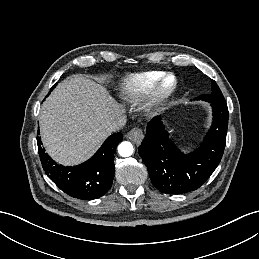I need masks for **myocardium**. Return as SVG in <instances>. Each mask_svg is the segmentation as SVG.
<instances>
[{"instance_id":"1","label":"myocardium","mask_w":259,"mask_h":259,"mask_svg":"<svg viewBox=\"0 0 259 259\" xmlns=\"http://www.w3.org/2000/svg\"><path fill=\"white\" fill-rule=\"evenodd\" d=\"M177 83V78L174 74L166 73L161 75L147 90L142 102L143 111L151 113L164 105L175 92Z\"/></svg>"}]
</instances>
